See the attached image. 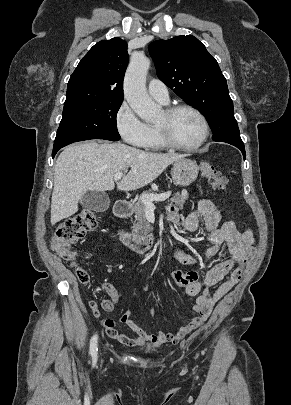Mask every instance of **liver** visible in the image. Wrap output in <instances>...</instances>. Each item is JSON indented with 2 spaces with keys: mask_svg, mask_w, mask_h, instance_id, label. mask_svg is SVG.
<instances>
[{
  "mask_svg": "<svg viewBox=\"0 0 291 405\" xmlns=\"http://www.w3.org/2000/svg\"><path fill=\"white\" fill-rule=\"evenodd\" d=\"M182 158L184 155L150 153L122 143L87 141L66 147L54 168L51 224L74 215L86 192L112 190L116 173L130 167L117 188L136 190L154 181L170 164Z\"/></svg>",
  "mask_w": 291,
  "mask_h": 405,
  "instance_id": "obj_1",
  "label": "liver"
}]
</instances>
